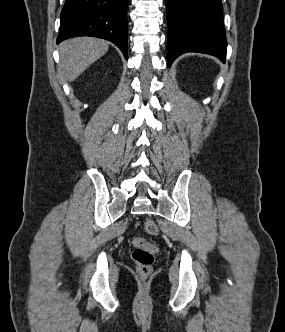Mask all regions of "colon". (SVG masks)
Returning <instances> with one entry per match:
<instances>
[{"label": "colon", "mask_w": 285, "mask_h": 332, "mask_svg": "<svg viewBox=\"0 0 285 332\" xmlns=\"http://www.w3.org/2000/svg\"><path fill=\"white\" fill-rule=\"evenodd\" d=\"M144 227L150 235H155L158 232L156 224L150 219L145 221ZM133 244L134 250L131 256L136 265L137 273L142 277H147L152 272L158 247L153 241L144 237L136 238Z\"/></svg>", "instance_id": "colon-1"}]
</instances>
